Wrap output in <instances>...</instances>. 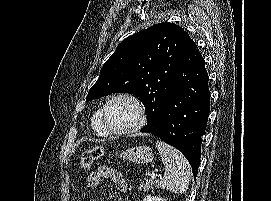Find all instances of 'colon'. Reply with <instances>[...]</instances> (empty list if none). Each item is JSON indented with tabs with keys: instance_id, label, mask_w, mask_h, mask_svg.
<instances>
[{
	"instance_id": "obj_1",
	"label": "colon",
	"mask_w": 271,
	"mask_h": 201,
	"mask_svg": "<svg viewBox=\"0 0 271 201\" xmlns=\"http://www.w3.org/2000/svg\"><path fill=\"white\" fill-rule=\"evenodd\" d=\"M103 154V148L100 146L84 151L80 159V169L87 171L91 165L98 160Z\"/></svg>"
}]
</instances>
